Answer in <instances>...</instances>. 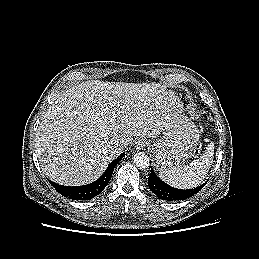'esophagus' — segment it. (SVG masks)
Instances as JSON below:
<instances>
[{"mask_svg": "<svg viewBox=\"0 0 259 259\" xmlns=\"http://www.w3.org/2000/svg\"><path fill=\"white\" fill-rule=\"evenodd\" d=\"M146 145H147V141L143 138L138 139L135 143V147L138 150L144 149Z\"/></svg>", "mask_w": 259, "mask_h": 259, "instance_id": "34e87169", "label": "esophagus"}]
</instances>
